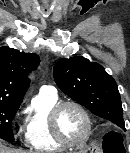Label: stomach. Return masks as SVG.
Instances as JSON below:
<instances>
[{
	"label": "stomach",
	"mask_w": 130,
	"mask_h": 153,
	"mask_svg": "<svg viewBox=\"0 0 130 153\" xmlns=\"http://www.w3.org/2000/svg\"><path fill=\"white\" fill-rule=\"evenodd\" d=\"M96 147L95 146H93V149H95ZM88 151H89V148L88 149H80V150H78V151H75L74 153H88Z\"/></svg>",
	"instance_id": "0dacf381"
}]
</instances>
